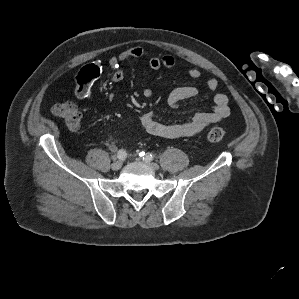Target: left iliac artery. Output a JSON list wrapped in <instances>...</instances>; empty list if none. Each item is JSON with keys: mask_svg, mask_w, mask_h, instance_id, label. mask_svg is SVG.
I'll use <instances>...</instances> for the list:
<instances>
[{"mask_svg": "<svg viewBox=\"0 0 299 299\" xmlns=\"http://www.w3.org/2000/svg\"><path fill=\"white\" fill-rule=\"evenodd\" d=\"M145 155V154H144ZM153 155L152 154H146L145 156H144V160H146V161H152L153 160Z\"/></svg>", "mask_w": 299, "mask_h": 299, "instance_id": "left-iliac-artery-1", "label": "left iliac artery"}]
</instances>
